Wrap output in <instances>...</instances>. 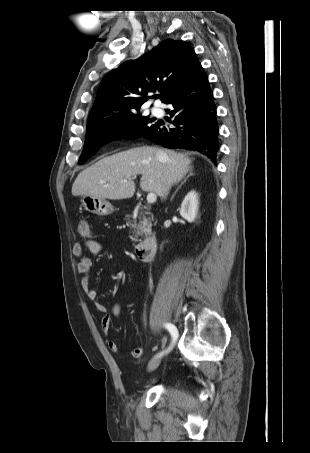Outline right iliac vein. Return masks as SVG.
<instances>
[{
  "instance_id": "obj_1",
  "label": "right iliac vein",
  "mask_w": 310,
  "mask_h": 453,
  "mask_svg": "<svg viewBox=\"0 0 310 453\" xmlns=\"http://www.w3.org/2000/svg\"><path fill=\"white\" fill-rule=\"evenodd\" d=\"M161 358L159 356L154 357L148 364L147 370L149 372L154 371L160 365Z\"/></svg>"
}]
</instances>
